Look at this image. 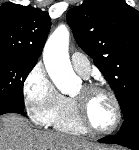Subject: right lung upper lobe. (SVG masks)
Returning <instances> with one entry per match:
<instances>
[{
  "label": "right lung upper lobe",
  "mask_w": 139,
  "mask_h": 150,
  "mask_svg": "<svg viewBox=\"0 0 139 150\" xmlns=\"http://www.w3.org/2000/svg\"><path fill=\"white\" fill-rule=\"evenodd\" d=\"M50 26L47 11L4 3L0 6V55L37 62Z\"/></svg>",
  "instance_id": "obj_1"
}]
</instances>
